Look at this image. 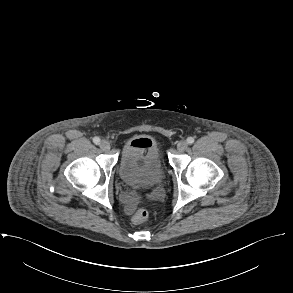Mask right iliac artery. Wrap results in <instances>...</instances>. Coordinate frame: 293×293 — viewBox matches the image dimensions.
<instances>
[{
	"instance_id": "right-iliac-artery-1",
	"label": "right iliac artery",
	"mask_w": 293,
	"mask_h": 293,
	"mask_svg": "<svg viewBox=\"0 0 293 293\" xmlns=\"http://www.w3.org/2000/svg\"><path fill=\"white\" fill-rule=\"evenodd\" d=\"M93 142H94L95 144H99V143H100V138H99V137H94V138H93Z\"/></svg>"
}]
</instances>
